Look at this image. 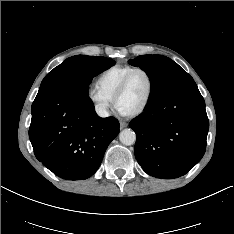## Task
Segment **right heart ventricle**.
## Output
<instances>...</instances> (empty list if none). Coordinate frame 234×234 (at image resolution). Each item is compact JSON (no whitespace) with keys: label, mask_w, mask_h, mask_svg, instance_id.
<instances>
[{"label":"right heart ventricle","mask_w":234,"mask_h":234,"mask_svg":"<svg viewBox=\"0 0 234 234\" xmlns=\"http://www.w3.org/2000/svg\"><path fill=\"white\" fill-rule=\"evenodd\" d=\"M134 67L130 65H114L102 71L97 78V86L113 100L114 93L125 75Z\"/></svg>","instance_id":"obj_1"}]
</instances>
